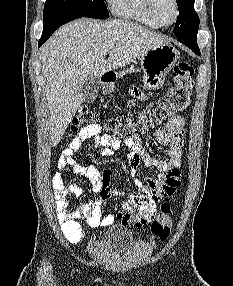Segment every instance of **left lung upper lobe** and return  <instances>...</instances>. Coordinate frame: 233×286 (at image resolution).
I'll use <instances>...</instances> for the list:
<instances>
[{
	"instance_id": "left-lung-upper-lobe-1",
	"label": "left lung upper lobe",
	"mask_w": 233,
	"mask_h": 286,
	"mask_svg": "<svg viewBox=\"0 0 233 286\" xmlns=\"http://www.w3.org/2000/svg\"><path fill=\"white\" fill-rule=\"evenodd\" d=\"M179 18L176 21L174 35L186 36L198 32L199 17L194 10V0H176Z\"/></svg>"
}]
</instances>
